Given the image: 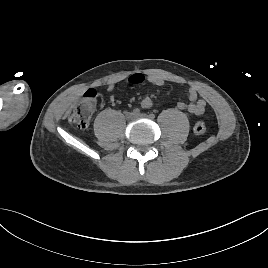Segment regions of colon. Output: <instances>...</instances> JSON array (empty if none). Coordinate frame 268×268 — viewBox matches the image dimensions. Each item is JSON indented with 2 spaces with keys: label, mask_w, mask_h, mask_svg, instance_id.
I'll return each mask as SVG.
<instances>
[{
  "label": "colon",
  "mask_w": 268,
  "mask_h": 268,
  "mask_svg": "<svg viewBox=\"0 0 268 268\" xmlns=\"http://www.w3.org/2000/svg\"><path fill=\"white\" fill-rule=\"evenodd\" d=\"M97 104V93L95 90H88L83 97L80 104L73 107L68 114L69 121L77 126L79 129H86L89 127L93 113ZM196 134H204L206 132V125L203 121H197L193 127Z\"/></svg>",
  "instance_id": "colon-1"
}]
</instances>
